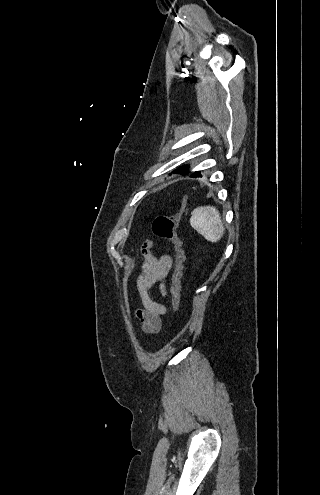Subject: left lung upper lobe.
I'll return each instance as SVG.
<instances>
[{"label": "left lung upper lobe", "mask_w": 320, "mask_h": 495, "mask_svg": "<svg viewBox=\"0 0 320 495\" xmlns=\"http://www.w3.org/2000/svg\"><path fill=\"white\" fill-rule=\"evenodd\" d=\"M189 167L186 165V166H181L179 168H177L176 170L173 171V173H179V174H184L188 171Z\"/></svg>", "instance_id": "left-lung-upper-lobe-1"}]
</instances>
